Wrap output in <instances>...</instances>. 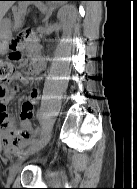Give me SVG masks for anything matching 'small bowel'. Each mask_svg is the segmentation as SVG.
I'll list each match as a JSON object with an SVG mask.
<instances>
[{
	"label": "small bowel",
	"instance_id": "c3829d8e",
	"mask_svg": "<svg viewBox=\"0 0 137 189\" xmlns=\"http://www.w3.org/2000/svg\"><path fill=\"white\" fill-rule=\"evenodd\" d=\"M44 68L45 63L40 59L39 61L31 63L28 75L16 72L13 74L11 80L26 85L29 81L38 79ZM17 90V86H0V140L4 152L8 155L18 154L27 147L29 138L33 132V107L38 103L40 97L38 88H32L30 90L27 100L20 108V128L18 129L14 119L7 111V105L15 96ZM21 132H23V134H21Z\"/></svg>",
	"mask_w": 137,
	"mask_h": 189
}]
</instances>
